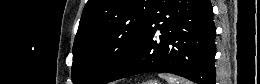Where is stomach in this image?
<instances>
[{"label": "stomach", "instance_id": "0dacf381", "mask_svg": "<svg viewBox=\"0 0 260 84\" xmlns=\"http://www.w3.org/2000/svg\"><path fill=\"white\" fill-rule=\"evenodd\" d=\"M145 84H159V82L156 80H150V81H147Z\"/></svg>", "mask_w": 260, "mask_h": 84}]
</instances>
